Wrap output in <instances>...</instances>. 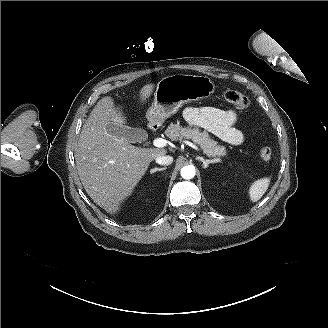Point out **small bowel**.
I'll return each instance as SVG.
<instances>
[{"label":"small bowel","instance_id":"c3829d8e","mask_svg":"<svg viewBox=\"0 0 328 328\" xmlns=\"http://www.w3.org/2000/svg\"><path fill=\"white\" fill-rule=\"evenodd\" d=\"M186 121L198 128L205 129L232 145L244 140L243 132L235 127L238 113L235 110H222L213 106L188 107L184 111Z\"/></svg>","mask_w":328,"mask_h":328}]
</instances>
